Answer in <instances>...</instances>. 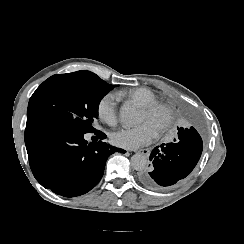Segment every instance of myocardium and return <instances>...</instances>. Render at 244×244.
I'll use <instances>...</instances> for the list:
<instances>
[{"label":"myocardium","instance_id":"f54148a6","mask_svg":"<svg viewBox=\"0 0 244 244\" xmlns=\"http://www.w3.org/2000/svg\"><path fill=\"white\" fill-rule=\"evenodd\" d=\"M141 108L143 110H145V111H153V110H156V109L163 108V110H165L167 112V114H168L169 123L164 128V130L162 132H160V134H165V133L169 132L172 129V127H173V120H174V114H173V110L171 109L170 106L163 105L160 102H155V103H150V104L142 105Z\"/></svg>","mask_w":244,"mask_h":244}]
</instances>
